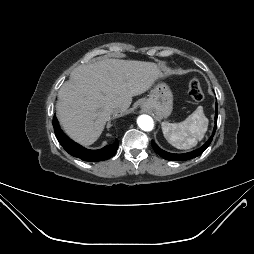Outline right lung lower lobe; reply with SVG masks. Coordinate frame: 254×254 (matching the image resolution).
<instances>
[{
    "mask_svg": "<svg viewBox=\"0 0 254 254\" xmlns=\"http://www.w3.org/2000/svg\"><path fill=\"white\" fill-rule=\"evenodd\" d=\"M53 127L56 138L63 148L72 156L82 159L83 161L96 162L103 161L112 157L118 149V140L111 145H107L99 150H89L75 143L61 130L56 116L53 117Z\"/></svg>",
    "mask_w": 254,
    "mask_h": 254,
    "instance_id": "1",
    "label": "right lung lower lobe"
}]
</instances>
